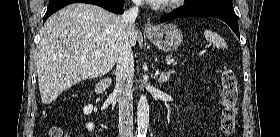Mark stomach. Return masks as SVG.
Masks as SVG:
<instances>
[{"label":"stomach","mask_w":280,"mask_h":137,"mask_svg":"<svg viewBox=\"0 0 280 137\" xmlns=\"http://www.w3.org/2000/svg\"><path fill=\"white\" fill-rule=\"evenodd\" d=\"M146 35L158 49L166 52L175 50L183 41L181 30L170 23L154 26Z\"/></svg>","instance_id":"stomach-1"}]
</instances>
